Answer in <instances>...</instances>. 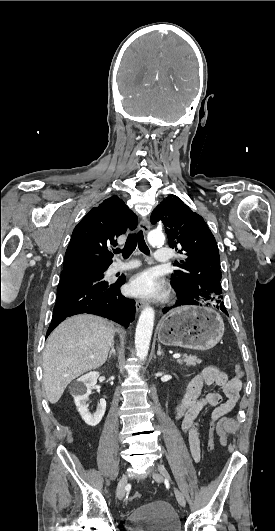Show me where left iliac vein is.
<instances>
[{
  "label": "left iliac vein",
  "mask_w": 275,
  "mask_h": 531,
  "mask_svg": "<svg viewBox=\"0 0 275 531\" xmlns=\"http://www.w3.org/2000/svg\"><path fill=\"white\" fill-rule=\"evenodd\" d=\"M157 468L159 470V473H153L152 474L153 479L157 483H161L164 478L167 479L168 481H171L170 475L167 472V470L165 469L164 465L158 464ZM174 493H175V496H176V499H177L178 503L182 507H185L186 506V499H185L184 495L182 494V492L179 489L174 487Z\"/></svg>",
  "instance_id": "4c4485c4"
}]
</instances>
